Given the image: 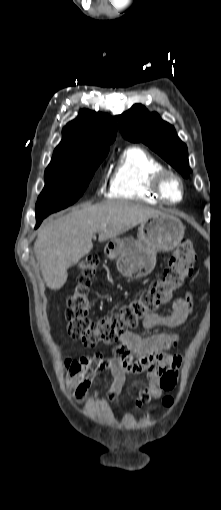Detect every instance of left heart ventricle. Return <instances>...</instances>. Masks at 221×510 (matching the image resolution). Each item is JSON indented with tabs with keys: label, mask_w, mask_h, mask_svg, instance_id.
<instances>
[{
	"label": "left heart ventricle",
	"mask_w": 221,
	"mask_h": 510,
	"mask_svg": "<svg viewBox=\"0 0 221 510\" xmlns=\"http://www.w3.org/2000/svg\"><path fill=\"white\" fill-rule=\"evenodd\" d=\"M165 193L170 200L176 201L181 196L179 185L174 180H168L165 185Z\"/></svg>",
	"instance_id": "b2bd125f"
}]
</instances>
